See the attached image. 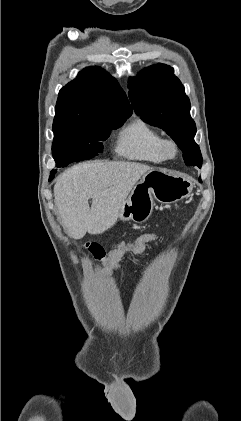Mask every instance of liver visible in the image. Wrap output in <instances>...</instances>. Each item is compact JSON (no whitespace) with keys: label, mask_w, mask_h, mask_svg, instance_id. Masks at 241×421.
<instances>
[{"label":"liver","mask_w":241,"mask_h":421,"mask_svg":"<svg viewBox=\"0 0 241 421\" xmlns=\"http://www.w3.org/2000/svg\"><path fill=\"white\" fill-rule=\"evenodd\" d=\"M152 169L136 162L93 161L64 171L57 178L54 197L69 236L77 240L87 232L102 234L114 226L129 193Z\"/></svg>","instance_id":"1"}]
</instances>
